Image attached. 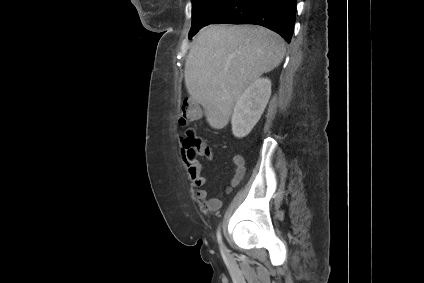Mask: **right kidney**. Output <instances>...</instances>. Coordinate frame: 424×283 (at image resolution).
<instances>
[{"instance_id": "ca27d5eb", "label": "right kidney", "mask_w": 424, "mask_h": 283, "mask_svg": "<svg viewBox=\"0 0 424 283\" xmlns=\"http://www.w3.org/2000/svg\"><path fill=\"white\" fill-rule=\"evenodd\" d=\"M271 95V81L258 78L237 99L231 118L232 132L237 138L247 136L261 118Z\"/></svg>"}]
</instances>
